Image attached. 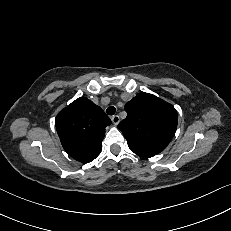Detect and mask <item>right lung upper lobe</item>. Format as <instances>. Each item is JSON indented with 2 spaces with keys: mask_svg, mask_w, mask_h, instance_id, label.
Returning <instances> with one entry per match:
<instances>
[{
  "mask_svg": "<svg viewBox=\"0 0 231 231\" xmlns=\"http://www.w3.org/2000/svg\"><path fill=\"white\" fill-rule=\"evenodd\" d=\"M110 124L104 111L85 97L73 101L55 118L62 146L82 163L91 162L101 153L105 127Z\"/></svg>",
  "mask_w": 231,
  "mask_h": 231,
  "instance_id": "obj_1",
  "label": "right lung upper lobe"
}]
</instances>
